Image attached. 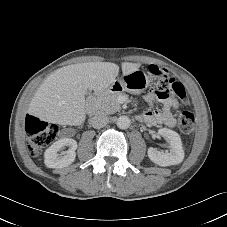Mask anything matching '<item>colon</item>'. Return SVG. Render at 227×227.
Wrapping results in <instances>:
<instances>
[{"mask_svg": "<svg viewBox=\"0 0 227 227\" xmlns=\"http://www.w3.org/2000/svg\"><path fill=\"white\" fill-rule=\"evenodd\" d=\"M150 72L156 77V92L171 90L187 105L189 99L183 85L172 78L166 70L160 69L157 66H151ZM180 131L192 136L195 129L194 115L189 111H182L178 117ZM25 129L28 134V149L32 156H38L42 149L53 143L58 134L59 128L47 123L38 117L27 115L25 119Z\"/></svg>", "mask_w": 227, "mask_h": 227, "instance_id": "colon-1", "label": "colon"}]
</instances>
